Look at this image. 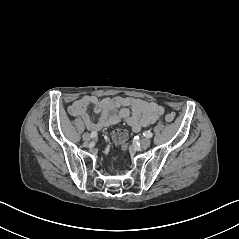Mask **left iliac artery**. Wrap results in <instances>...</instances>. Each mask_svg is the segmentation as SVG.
Here are the masks:
<instances>
[{"label": "left iliac artery", "instance_id": "44dca946", "mask_svg": "<svg viewBox=\"0 0 239 239\" xmlns=\"http://www.w3.org/2000/svg\"><path fill=\"white\" fill-rule=\"evenodd\" d=\"M143 135H144L145 137H147V138H152V136H153L152 132H150V131H145V132L143 133Z\"/></svg>", "mask_w": 239, "mask_h": 239}]
</instances>
